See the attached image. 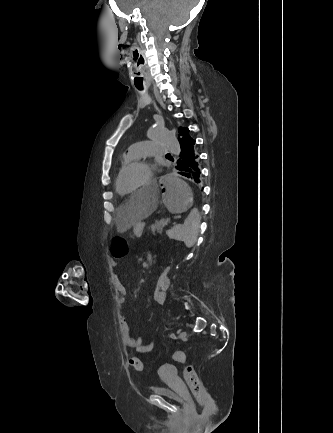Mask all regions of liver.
Wrapping results in <instances>:
<instances>
[{"instance_id":"liver-1","label":"liver","mask_w":333,"mask_h":433,"mask_svg":"<svg viewBox=\"0 0 333 433\" xmlns=\"http://www.w3.org/2000/svg\"><path fill=\"white\" fill-rule=\"evenodd\" d=\"M142 188L144 192H131V200L117 208L115 223L118 233L126 232L157 209L160 184L144 183Z\"/></svg>"}]
</instances>
